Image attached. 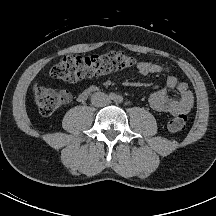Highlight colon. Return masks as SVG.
I'll list each match as a JSON object with an SVG mask.
<instances>
[{
  "label": "colon",
  "instance_id": "1",
  "mask_svg": "<svg viewBox=\"0 0 216 216\" xmlns=\"http://www.w3.org/2000/svg\"><path fill=\"white\" fill-rule=\"evenodd\" d=\"M136 59L123 52H110L104 55H67L55 64L50 75L55 79L77 81L105 74L115 70L133 67ZM35 101L39 112L48 116L71 101V94L65 90H53L40 87L35 93ZM187 116L178 115L169 121L168 128L172 132L185 129Z\"/></svg>",
  "mask_w": 216,
  "mask_h": 216
}]
</instances>
